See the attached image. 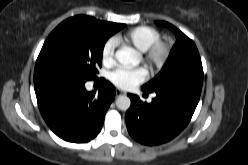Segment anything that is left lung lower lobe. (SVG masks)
<instances>
[{
	"label": "left lung lower lobe",
	"mask_w": 248,
	"mask_h": 165,
	"mask_svg": "<svg viewBox=\"0 0 248 165\" xmlns=\"http://www.w3.org/2000/svg\"><path fill=\"white\" fill-rule=\"evenodd\" d=\"M201 91L169 89L156 92L151 103L128 94L131 106L125 121L130 136L141 144L158 145L178 135L189 123Z\"/></svg>",
	"instance_id": "0a47b994"
}]
</instances>
